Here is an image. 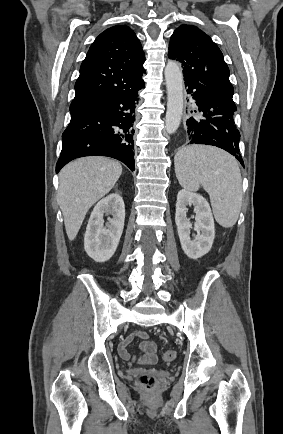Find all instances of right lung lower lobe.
I'll return each instance as SVG.
<instances>
[{
    "label": "right lung lower lobe",
    "mask_w": 283,
    "mask_h": 434,
    "mask_svg": "<svg viewBox=\"0 0 283 434\" xmlns=\"http://www.w3.org/2000/svg\"><path fill=\"white\" fill-rule=\"evenodd\" d=\"M109 98L71 113V121L62 135V151L56 172L75 158L102 155L122 161L134 170V122L137 92Z\"/></svg>",
    "instance_id": "98d812e1"
}]
</instances>
